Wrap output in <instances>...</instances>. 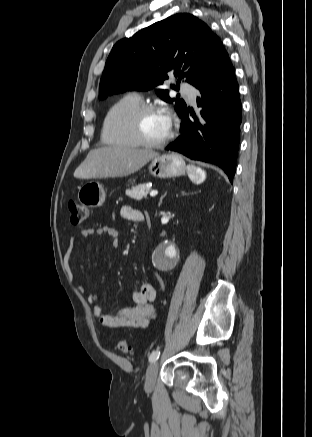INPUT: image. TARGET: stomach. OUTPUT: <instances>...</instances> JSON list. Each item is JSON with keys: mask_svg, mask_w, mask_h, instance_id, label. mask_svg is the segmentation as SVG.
I'll list each match as a JSON object with an SVG mask.
<instances>
[{"mask_svg": "<svg viewBox=\"0 0 312 437\" xmlns=\"http://www.w3.org/2000/svg\"><path fill=\"white\" fill-rule=\"evenodd\" d=\"M149 173L158 178H172L183 175L186 165L181 155L177 153H166L157 155L150 160ZM106 193L97 181H88L78 191V200L89 208H97L105 202Z\"/></svg>", "mask_w": 312, "mask_h": 437, "instance_id": "stomach-1", "label": "stomach"}]
</instances>
